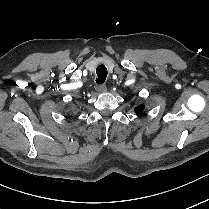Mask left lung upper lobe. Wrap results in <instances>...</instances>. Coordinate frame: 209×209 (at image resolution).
Listing matches in <instances>:
<instances>
[{
    "label": "left lung upper lobe",
    "mask_w": 209,
    "mask_h": 209,
    "mask_svg": "<svg viewBox=\"0 0 209 209\" xmlns=\"http://www.w3.org/2000/svg\"><path fill=\"white\" fill-rule=\"evenodd\" d=\"M144 109V106L143 105H139L137 108H135V112L137 114H140Z\"/></svg>",
    "instance_id": "left-lung-upper-lobe-1"
}]
</instances>
